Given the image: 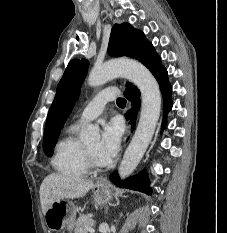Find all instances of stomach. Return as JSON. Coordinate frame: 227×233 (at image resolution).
I'll use <instances>...</instances> for the list:
<instances>
[{
    "instance_id": "stomach-1",
    "label": "stomach",
    "mask_w": 227,
    "mask_h": 233,
    "mask_svg": "<svg viewBox=\"0 0 227 233\" xmlns=\"http://www.w3.org/2000/svg\"><path fill=\"white\" fill-rule=\"evenodd\" d=\"M112 197V190L107 185H95L93 199L95 206L105 204ZM45 222L50 230H72L76 218V206L68 200L54 202L45 213Z\"/></svg>"
}]
</instances>
